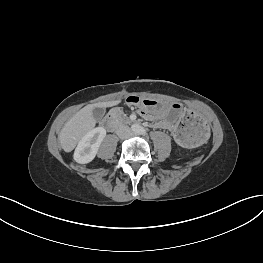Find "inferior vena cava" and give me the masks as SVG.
I'll list each match as a JSON object with an SVG mask.
<instances>
[{
  "mask_svg": "<svg viewBox=\"0 0 263 263\" xmlns=\"http://www.w3.org/2000/svg\"><path fill=\"white\" fill-rule=\"evenodd\" d=\"M116 133L120 138H126L132 135V131L127 125L119 126Z\"/></svg>",
  "mask_w": 263,
  "mask_h": 263,
  "instance_id": "1",
  "label": "inferior vena cava"
}]
</instances>
